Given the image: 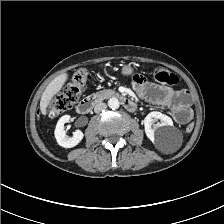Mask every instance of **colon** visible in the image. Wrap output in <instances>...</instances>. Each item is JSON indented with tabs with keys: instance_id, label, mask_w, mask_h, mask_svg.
I'll return each instance as SVG.
<instances>
[{
	"instance_id": "5ec220e1",
	"label": "colon",
	"mask_w": 224,
	"mask_h": 224,
	"mask_svg": "<svg viewBox=\"0 0 224 224\" xmlns=\"http://www.w3.org/2000/svg\"><path fill=\"white\" fill-rule=\"evenodd\" d=\"M88 78V73L84 69L77 70L69 82L51 99L47 106V114L50 117H55L71 109L78 101ZM154 78L156 81L166 85L178 83L177 75L164 67H157L154 70ZM182 117H188V114L184 113ZM192 129L193 124L189 123L186 131L190 132Z\"/></svg>"
}]
</instances>
